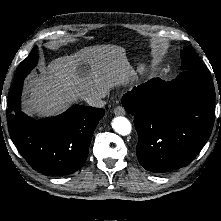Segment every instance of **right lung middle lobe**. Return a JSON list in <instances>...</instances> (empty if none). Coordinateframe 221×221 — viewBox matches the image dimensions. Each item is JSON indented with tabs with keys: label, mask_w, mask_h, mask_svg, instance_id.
I'll list each match as a JSON object with an SVG mask.
<instances>
[{
	"label": "right lung middle lobe",
	"mask_w": 221,
	"mask_h": 221,
	"mask_svg": "<svg viewBox=\"0 0 221 221\" xmlns=\"http://www.w3.org/2000/svg\"><path fill=\"white\" fill-rule=\"evenodd\" d=\"M38 61V53L37 47H34L33 50L30 52L29 56L23 60L17 70V73L14 77V82H19L24 80L26 75L36 66Z\"/></svg>",
	"instance_id": "right-lung-middle-lobe-1"
}]
</instances>
